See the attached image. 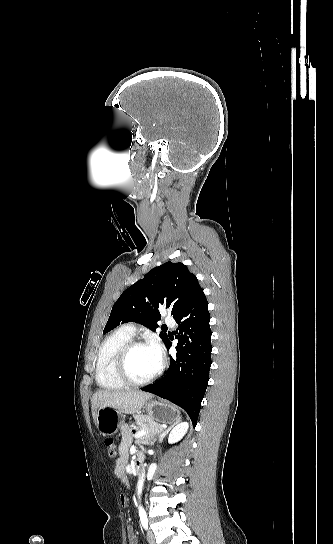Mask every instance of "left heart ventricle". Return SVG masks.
Masks as SVG:
<instances>
[{
	"label": "left heart ventricle",
	"instance_id": "b2bd125f",
	"mask_svg": "<svg viewBox=\"0 0 333 544\" xmlns=\"http://www.w3.org/2000/svg\"><path fill=\"white\" fill-rule=\"evenodd\" d=\"M158 358L150 345L134 348L128 359V371L135 380H144L150 377L159 367Z\"/></svg>",
	"mask_w": 333,
	"mask_h": 544
}]
</instances>
